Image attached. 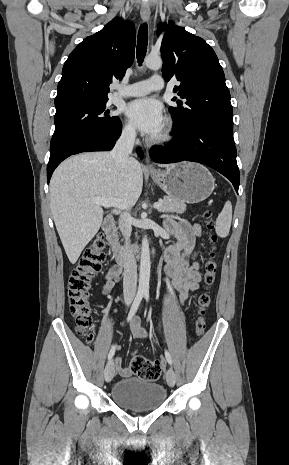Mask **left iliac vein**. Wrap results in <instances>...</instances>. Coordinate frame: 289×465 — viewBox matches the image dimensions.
I'll return each instance as SVG.
<instances>
[{"label": "left iliac vein", "mask_w": 289, "mask_h": 465, "mask_svg": "<svg viewBox=\"0 0 289 465\" xmlns=\"http://www.w3.org/2000/svg\"><path fill=\"white\" fill-rule=\"evenodd\" d=\"M166 381L170 387H173L176 383V374L172 368H169L166 372Z\"/></svg>", "instance_id": "obj_1"}]
</instances>
